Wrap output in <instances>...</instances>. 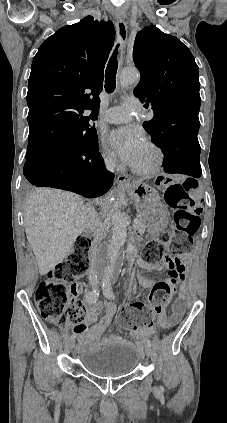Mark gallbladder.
Listing matches in <instances>:
<instances>
[{"label":"gallbladder","instance_id":"obj_1","mask_svg":"<svg viewBox=\"0 0 227 423\" xmlns=\"http://www.w3.org/2000/svg\"><path fill=\"white\" fill-rule=\"evenodd\" d=\"M26 184H27V182H26ZM27 186H28V188H30L29 184H27Z\"/></svg>","mask_w":227,"mask_h":423}]
</instances>
